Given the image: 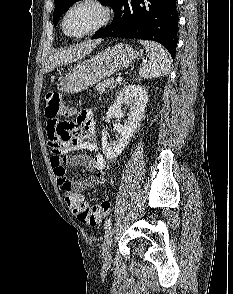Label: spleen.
Listing matches in <instances>:
<instances>
[{
	"instance_id": "obj_1",
	"label": "spleen",
	"mask_w": 233,
	"mask_h": 294,
	"mask_svg": "<svg viewBox=\"0 0 233 294\" xmlns=\"http://www.w3.org/2000/svg\"><path fill=\"white\" fill-rule=\"evenodd\" d=\"M146 48L149 62L143 65L139 70L140 77L152 79L168 75L171 69V63L166 50L162 45L153 41H139Z\"/></svg>"
}]
</instances>
